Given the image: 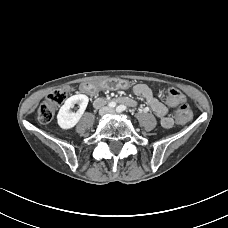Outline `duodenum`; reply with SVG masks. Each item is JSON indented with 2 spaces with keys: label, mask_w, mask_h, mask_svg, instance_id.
Listing matches in <instances>:
<instances>
[{
  "label": "duodenum",
  "mask_w": 228,
  "mask_h": 228,
  "mask_svg": "<svg viewBox=\"0 0 228 228\" xmlns=\"http://www.w3.org/2000/svg\"><path fill=\"white\" fill-rule=\"evenodd\" d=\"M116 101L118 103H120L121 105H124V106L125 105H127V106L134 105V101L129 99V98H127V97H118V98H116ZM105 102H106V100L104 98H98V99L95 100L94 104L96 106H99V105H102Z\"/></svg>",
  "instance_id": "obj_1"
}]
</instances>
